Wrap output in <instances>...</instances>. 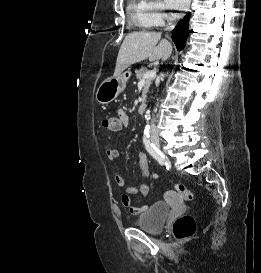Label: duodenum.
<instances>
[{"label":"duodenum","instance_id":"duodenum-1","mask_svg":"<svg viewBox=\"0 0 261 273\" xmlns=\"http://www.w3.org/2000/svg\"><path fill=\"white\" fill-rule=\"evenodd\" d=\"M147 109H148L147 103L142 102V103L139 105L138 111H139V113L144 114V113L147 112Z\"/></svg>","mask_w":261,"mask_h":273}]
</instances>
